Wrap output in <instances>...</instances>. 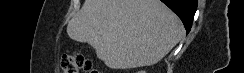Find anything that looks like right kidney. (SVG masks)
Returning <instances> with one entry per match:
<instances>
[{"label":"right kidney","mask_w":244,"mask_h":73,"mask_svg":"<svg viewBox=\"0 0 244 73\" xmlns=\"http://www.w3.org/2000/svg\"><path fill=\"white\" fill-rule=\"evenodd\" d=\"M139 73H145V71H139Z\"/></svg>","instance_id":"1"}]
</instances>
